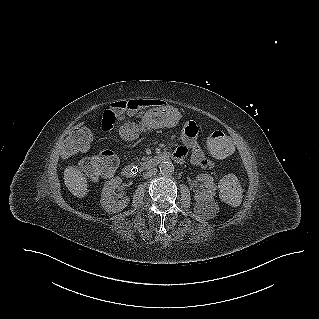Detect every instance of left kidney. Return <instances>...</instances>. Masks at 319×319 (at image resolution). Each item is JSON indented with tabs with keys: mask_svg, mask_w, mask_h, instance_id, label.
Masks as SVG:
<instances>
[{
	"mask_svg": "<svg viewBox=\"0 0 319 319\" xmlns=\"http://www.w3.org/2000/svg\"><path fill=\"white\" fill-rule=\"evenodd\" d=\"M196 179L197 181L203 182L205 186V189L195 194L194 199L196 202L200 205L214 207L217 210V204L214 201L216 186L213 177L209 174H199Z\"/></svg>",
	"mask_w": 319,
	"mask_h": 319,
	"instance_id": "5707ae66",
	"label": "left kidney"
}]
</instances>
